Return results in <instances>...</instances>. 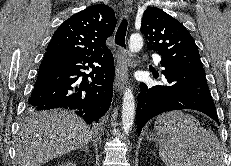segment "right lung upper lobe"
<instances>
[{
	"label": "right lung upper lobe",
	"instance_id": "1",
	"mask_svg": "<svg viewBox=\"0 0 231 166\" xmlns=\"http://www.w3.org/2000/svg\"><path fill=\"white\" fill-rule=\"evenodd\" d=\"M114 11L103 4L93 5L63 22L48 44V53L68 56H96L109 51L106 39L116 26Z\"/></svg>",
	"mask_w": 231,
	"mask_h": 166
}]
</instances>
